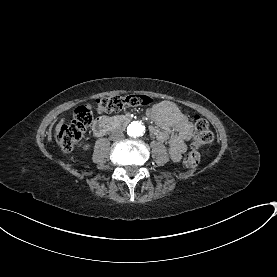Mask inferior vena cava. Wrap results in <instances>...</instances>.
Wrapping results in <instances>:
<instances>
[{"label": "inferior vena cava", "instance_id": "obj_1", "mask_svg": "<svg viewBox=\"0 0 277 277\" xmlns=\"http://www.w3.org/2000/svg\"><path fill=\"white\" fill-rule=\"evenodd\" d=\"M111 138L115 141L123 140L125 138L124 133L120 130H115L111 134Z\"/></svg>", "mask_w": 277, "mask_h": 277}]
</instances>
